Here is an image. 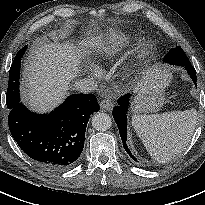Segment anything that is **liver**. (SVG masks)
<instances>
[{
  "instance_id": "obj_1",
  "label": "liver",
  "mask_w": 205,
  "mask_h": 205,
  "mask_svg": "<svg viewBox=\"0 0 205 205\" xmlns=\"http://www.w3.org/2000/svg\"><path fill=\"white\" fill-rule=\"evenodd\" d=\"M86 41L81 42L85 46ZM93 44V43H92ZM81 50L66 44L41 43L33 48L22 72L23 101L36 112H47L62 102L78 72ZM160 68L148 70L136 91H147L168 78Z\"/></svg>"
}]
</instances>
